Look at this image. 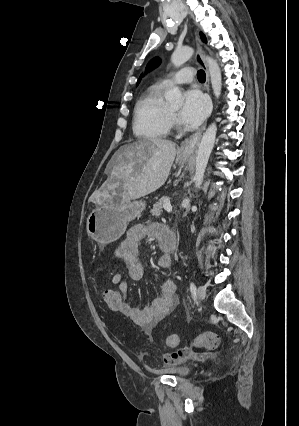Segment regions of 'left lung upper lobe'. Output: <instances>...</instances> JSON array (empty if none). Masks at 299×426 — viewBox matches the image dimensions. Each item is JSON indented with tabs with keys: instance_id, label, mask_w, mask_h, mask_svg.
I'll use <instances>...</instances> for the list:
<instances>
[{
	"instance_id": "obj_1",
	"label": "left lung upper lobe",
	"mask_w": 299,
	"mask_h": 426,
	"mask_svg": "<svg viewBox=\"0 0 299 426\" xmlns=\"http://www.w3.org/2000/svg\"><path fill=\"white\" fill-rule=\"evenodd\" d=\"M200 36H201L202 40H203L204 42H206V37L204 36V34H203V33H200ZM159 64H160V60H159L158 58H154V59H152V60H151V61L147 64L146 71L148 72V71H150V70H152V69L156 68Z\"/></svg>"
}]
</instances>
